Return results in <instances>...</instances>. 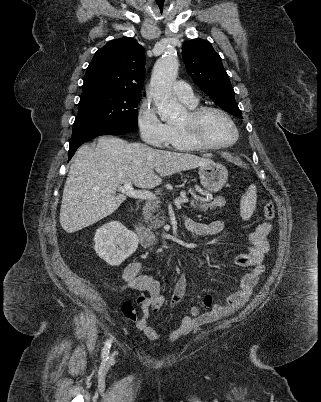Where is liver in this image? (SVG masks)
I'll use <instances>...</instances> for the list:
<instances>
[{"instance_id":"liver-1","label":"liver","mask_w":321,"mask_h":402,"mask_svg":"<svg viewBox=\"0 0 321 402\" xmlns=\"http://www.w3.org/2000/svg\"><path fill=\"white\" fill-rule=\"evenodd\" d=\"M211 163V159L193 154L153 149L114 136L99 137L95 148L81 146L71 164L62 197L61 226L74 233L115 212L126 200L124 194L116 195L121 184L154 188L163 176Z\"/></svg>"}]
</instances>
